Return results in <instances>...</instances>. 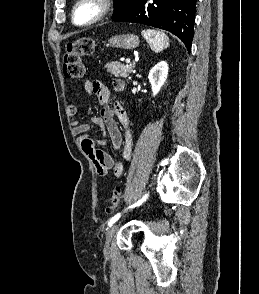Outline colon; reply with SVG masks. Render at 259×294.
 <instances>
[{"mask_svg": "<svg viewBox=\"0 0 259 294\" xmlns=\"http://www.w3.org/2000/svg\"><path fill=\"white\" fill-rule=\"evenodd\" d=\"M96 47V41L91 37H81L66 44L63 55V73L69 79H80L85 73L83 57L91 55ZM122 190H113L109 211L117 209L121 203Z\"/></svg>", "mask_w": 259, "mask_h": 294, "instance_id": "obj_1", "label": "colon"}]
</instances>
